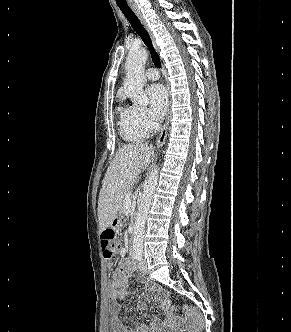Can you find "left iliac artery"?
Listing matches in <instances>:
<instances>
[{"mask_svg":"<svg viewBox=\"0 0 291 332\" xmlns=\"http://www.w3.org/2000/svg\"><path fill=\"white\" fill-rule=\"evenodd\" d=\"M141 258H142L141 255H136L135 256V259H137L138 261H141Z\"/></svg>","mask_w":291,"mask_h":332,"instance_id":"44dca946","label":"left iliac artery"}]
</instances>
